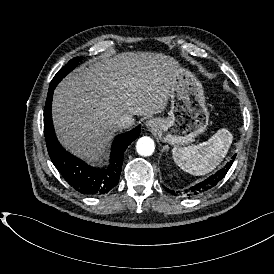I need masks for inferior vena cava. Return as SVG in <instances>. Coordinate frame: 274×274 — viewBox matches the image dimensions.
<instances>
[{"label": "inferior vena cava", "mask_w": 274, "mask_h": 274, "mask_svg": "<svg viewBox=\"0 0 274 274\" xmlns=\"http://www.w3.org/2000/svg\"><path fill=\"white\" fill-rule=\"evenodd\" d=\"M135 119L132 115H121L120 118L116 121L117 128L122 129L131 126L134 124Z\"/></svg>", "instance_id": "602c4592"}]
</instances>
